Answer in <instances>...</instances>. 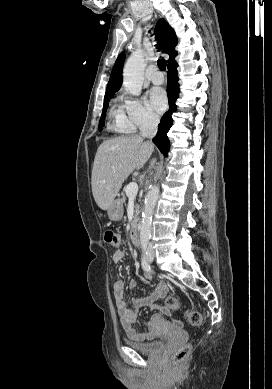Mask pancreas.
<instances>
[{
    "label": "pancreas",
    "mask_w": 272,
    "mask_h": 389,
    "mask_svg": "<svg viewBox=\"0 0 272 389\" xmlns=\"http://www.w3.org/2000/svg\"><path fill=\"white\" fill-rule=\"evenodd\" d=\"M122 200L125 202L126 201V196L125 195H122ZM138 212H139V205H136L135 206V217H134V221L132 222V226L135 225L136 221H137V216H138Z\"/></svg>",
    "instance_id": "cf45deb5"
}]
</instances>
